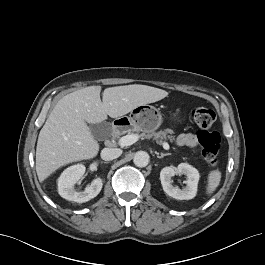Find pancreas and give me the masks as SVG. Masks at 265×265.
<instances>
[{"mask_svg": "<svg viewBox=\"0 0 265 265\" xmlns=\"http://www.w3.org/2000/svg\"><path fill=\"white\" fill-rule=\"evenodd\" d=\"M172 134H173V131L171 129H166L164 131L160 130L158 132H151L148 134L142 133L141 137L147 138V139L153 138L160 143L166 140L173 142L175 140V137Z\"/></svg>", "mask_w": 265, "mask_h": 265, "instance_id": "cf45deb5", "label": "pancreas"}]
</instances>
